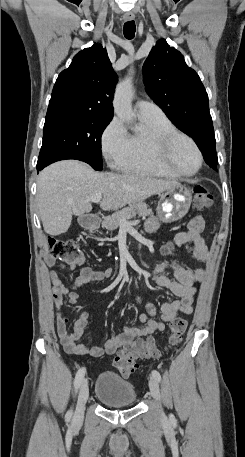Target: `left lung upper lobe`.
<instances>
[{
  "label": "left lung upper lobe",
  "instance_id": "left-lung-upper-lobe-1",
  "mask_svg": "<svg viewBox=\"0 0 245 457\" xmlns=\"http://www.w3.org/2000/svg\"><path fill=\"white\" fill-rule=\"evenodd\" d=\"M143 82L151 99L196 142L214 131L208 95L183 55L159 40L143 65Z\"/></svg>",
  "mask_w": 245,
  "mask_h": 457
}]
</instances>
